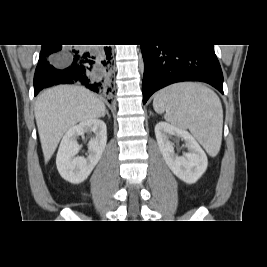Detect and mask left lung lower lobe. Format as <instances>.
<instances>
[{
    "label": "left lung lower lobe",
    "instance_id": "1",
    "mask_svg": "<svg viewBox=\"0 0 267 267\" xmlns=\"http://www.w3.org/2000/svg\"><path fill=\"white\" fill-rule=\"evenodd\" d=\"M143 104L157 90L176 82L202 81L223 94V75L213 45H141Z\"/></svg>",
    "mask_w": 267,
    "mask_h": 267
}]
</instances>
